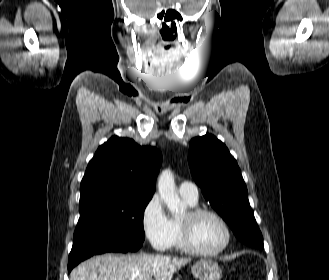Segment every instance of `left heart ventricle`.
I'll use <instances>...</instances> for the list:
<instances>
[{
  "label": "left heart ventricle",
  "instance_id": "b2bd125f",
  "mask_svg": "<svg viewBox=\"0 0 329 280\" xmlns=\"http://www.w3.org/2000/svg\"><path fill=\"white\" fill-rule=\"evenodd\" d=\"M193 239L200 249L214 251L223 244L225 232L215 218L203 215L194 222Z\"/></svg>",
  "mask_w": 329,
  "mask_h": 280
}]
</instances>
